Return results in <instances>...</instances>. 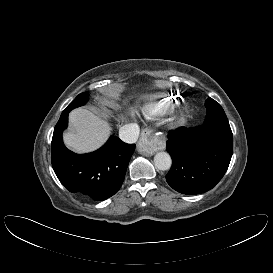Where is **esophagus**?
<instances>
[{
    "mask_svg": "<svg viewBox=\"0 0 273 273\" xmlns=\"http://www.w3.org/2000/svg\"><path fill=\"white\" fill-rule=\"evenodd\" d=\"M164 149V139L160 136H157L153 130L144 129L141 132L140 141L137 146V150L140 154L150 156L153 155L155 152Z\"/></svg>",
    "mask_w": 273,
    "mask_h": 273,
    "instance_id": "34e87169",
    "label": "esophagus"
}]
</instances>
